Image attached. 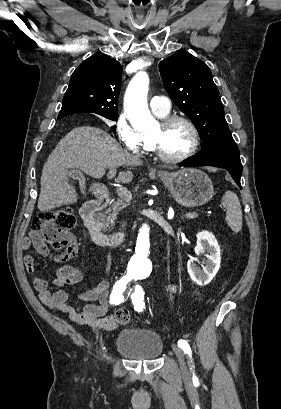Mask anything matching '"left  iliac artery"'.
<instances>
[{
  "instance_id": "obj_1",
  "label": "left iliac artery",
  "mask_w": 281,
  "mask_h": 409,
  "mask_svg": "<svg viewBox=\"0 0 281 409\" xmlns=\"http://www.w3.org/2000/svg\"><path fill=\"white\" fill-rule=\"evenodd\" d=\"M130 291H131L130 297L133 302L134 309L138 312L143 311V309L145 308V304L143 301L144 300L143 289L141 288V286L135 285L133 289H131ZM178 345L185 353L191 356V348L185 340H179Z\"/></svg>"
}]
</instances>
